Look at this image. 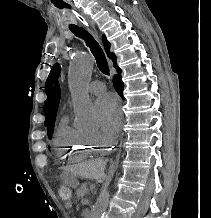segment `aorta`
Instances as JSON below:
<instances>
[{
  "instance_id": "762f6f07",
  "label": "aorta",
  "mask_w": 211,
  "mask_h": 218,
  "mask_svg": "<svg viewBox=\"0 0 211 218\" xmlns=\"http://www.w3.org/2000/svg\"><path fill=\"white\" fill-rule=\"evenodd\" d=\"M93 66L94 62L91 56H76L72 60L68 74V83L74 99L76 126L85 131H94L99 126L97 113L87 92ZM109 197V190H104L99 195L91 209L90 218H103Z\"/></svg>"
}]
</instances>
